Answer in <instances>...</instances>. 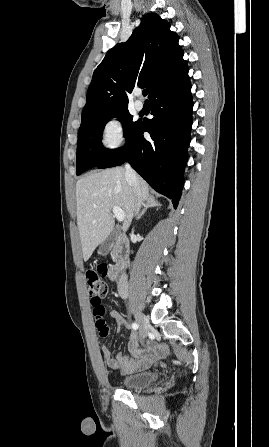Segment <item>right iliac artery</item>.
I'll return each instance as SVG.
<instances>
[{
	"mask_svg": "<svg viewBox=\"0 0 269 447\" xmlns=\"http://www.w3.org/2000/svg\"><path fill=\"white\" fill-rule=\"evenodd\" d=\"M138 327H139V325H138L137 323H133V324H132V328H133L134 330L138 329Z\"/></svg>",
	"mask_w": 269,
	"mask_h": 447,
	"instance_id": "obj_1",
	"label": "right iliac artery"
}]
</instances>
